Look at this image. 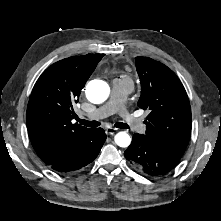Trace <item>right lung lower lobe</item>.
<instances>
[{"label": "right lung lower lobe", "mask_w": 221, "mask_h": 221, "mask_svg": "<svg viewBox=\"0 0 221 221\" xmlns=\"http://www.w3.org/2000/svg\"><path fill=\"white\" fill-rule=\"evenodd\" d=\"M105 140L106 134L102 128L92 129L80 145L49 167L62 174L78 171L97 157Z\"/></svg>", "instance_id": "obj_1"}]
</instances>
